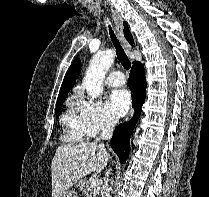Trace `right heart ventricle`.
I'll return each mask as SVG.
<instances>
[{
	"mask_svg": "<svg viewBox=\"0 0 209 197\" xmlns=\"http://www.w3.org/2000/svg\"><path fill=\"white\" fill-rule=\"evenodd\" d=\"M61 123L65 128L64 138L68 141H82L86 137V131L81 120L78 105L74 100H69L67 110L61 117Z\"/></svg>",
	"mask_w": 209,
	"mask_h": 197,
	"instance_id": "obj_1",
	"label": "right heart ventricle"
}]
</instances>
